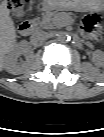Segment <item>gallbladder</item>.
Wrapping results in <instances>:
<instances>
[{"label":"gallbladder","instance_id":"1","mask_svg":"<svg viewBox=\"0 0 104 137\" xmlns=\"http://www.w3.org/2000/svg\"><path fill=\"white\" fill-rule=\"evenodd\" d=\"M23 13H24V12H23L22 8L18 9V11H17V15H18V16H22Z\"/></svg>","mask_w":104,"mask_h":137}]
</instances>
